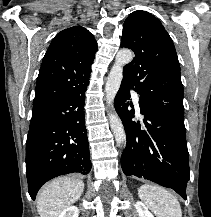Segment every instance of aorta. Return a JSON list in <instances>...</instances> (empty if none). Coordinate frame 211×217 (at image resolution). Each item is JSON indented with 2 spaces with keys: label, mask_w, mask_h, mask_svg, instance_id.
<instances>
[{
  "label": "aorta",
  "mask_w": 211,
  "mask_h": 217,
  "mask_svg": "<svg viewBox=\"0 0 211 217\" xmlns=\"http://www.w3.org/2000/svg\"><path fill=\"white\" fill-rule=\"evenodd\" d=\"M132 59L133 53L128 49H122L116 55L115 63L111 68L105 86L107 103L111 107H113L115 96L123 78V67L130 63ZM109 121L117 144H124L126 142V134L119 116L111 112L109 113Z\"/></svg>",
  "instance_id": "1"
}]
</instances>
